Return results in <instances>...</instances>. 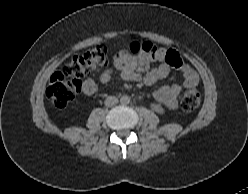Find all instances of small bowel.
Returning a JSON list of instances; mask_svg holds the SVG:
<instances>
[{"mask_svg":"<svg viewBox=\"0 0 248 194\" xmlns=\"http://www.w3.org/2000/svg\"><path fill=\"white\" fill-rule=\"evenodd\" d=\"M164 55L165 50L161 48H155L153 52H139L138 54H132L128 49L120 48L113 57L110 66L101 73L100 82H109L114 71H118L124 80L152 85L170 74L172 66L164 60ZM154 61H161V63L153 67ZM176 68H179L183 73V84L164 85L153 92L154 99L169 109L177 107L178 97L184 87H196L199 81L195 70L181 57ZM99 89L98 83L92 78L86 79L82 84V91L87 95H93Z\"/></svg>","mask_w":248,"mask_h":194,"instance_id":"1","label":"small bowel"}]
</instances>
